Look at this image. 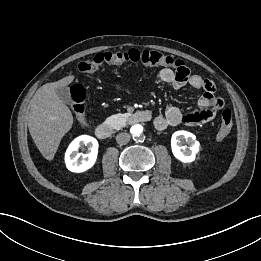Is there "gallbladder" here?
Wrapping results in <instances>:
<instances>
[{
  "label": "gallbladder",
  "instance_id": "gallbladder-1",
  "mask_svg": "<svg viewBox=\"0 0 261 261\" xmlns=\"http://www.w3.org/2000/svg\"><path fill=\"white\" fill-rule=\"evenodd\" d=\"M56 94L63 103L65 104L71 103V94H70V90L67 87L56 89Z\"/></svg>",
  "mask_w": 261,
  "mask_h": 261
}]
</instances>
